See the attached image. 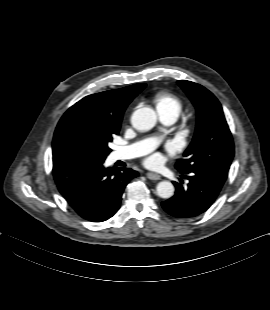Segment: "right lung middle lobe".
<instances>
[{"instance_id": "right-lung-middle-lobe-1", "label": "right lung middle lobe", "mask_w": 270, "mask_h": 310, "mask_svg": "<svg viewBox=\"0 0 270 310\" xmlns=\"http://www.w3.org/2000/svg\"><path fill=\"white\" fill-rule=\"evenodd\" d=\"M119 130L102 126L91 115L81 116L74 124L73 136L78 152V161L103 163L111 149L108 147L112 137Z\"/></svg>"}]
</instances>
